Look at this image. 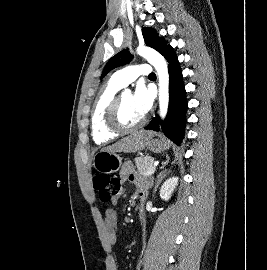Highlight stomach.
<instances>
[{"label":"stomach","instance_id":"1","mask_svg":"<svg viewBox=\"0 0 267 270\" xmlns=\"http://www.w3.org/2000/svg\"><path fill=\"white\" fill-rule=\"evenodd\" d=\"M148 148L153 152H161L169 148V143L164 140L154 139L153 135L148 138ZM122 158L117 152L101 150L93 158L94 168L102 173L110 174L119 170Z\"/></svg>","mask_w":267,"mask_h":270}]
</instances>
